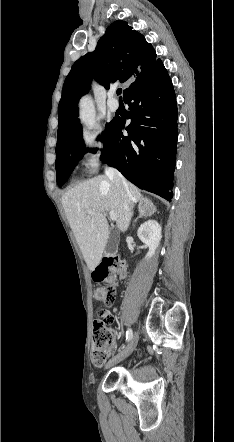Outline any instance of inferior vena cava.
<instances>
[{
    "label": "inferior vena cava",
    "instance_id": "602c4592",
    "mask_svg": "<svg viewBox=\"0 0 234 442\" xmlns=\"http://www.w3.org/2000/svg\"><path fill=\"white\" fill-rule=\"evenodd\" d=\"M105 174L110 178V180H112L115 183V185L119 189H121L122 191L126 190V192L128 193V196L125 199L124 206L126 208H131L132 207V198H131L129 191H128L127 182H126L125 178L122 176V174L117 169H115L113 167H106Z\"/></svg>",
    "mask_w": 234,
    "mask_h": 442
}]
</instances>
